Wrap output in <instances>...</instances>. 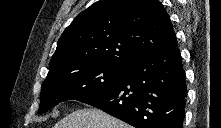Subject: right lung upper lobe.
Masks as SVG:
<instances>
[{
	"label": "right lung upper lobe",
	"mask_w": 221,
	"mask_h": 128,
	"mask_svg": "<svg viewBox=\"0 0 221 128\" xmlns=\"http://www.w3.org/2000/svg\"><path fill=\"white\" fill-rule=\"evenodd\" d=\"M176 46L170 18L158 0H99L62 33L49 73L87 64L129 67Z\"/></svg>",
	"instance_id": "cb5924a9"
}]
</instances>
